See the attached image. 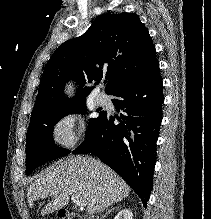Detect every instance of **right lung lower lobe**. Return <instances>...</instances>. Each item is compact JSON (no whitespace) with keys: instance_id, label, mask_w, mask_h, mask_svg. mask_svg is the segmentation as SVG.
<instances>
[{"instance_id":"1","label":"right lung lower lobe","mask_w":211,"mask_h":219,"mask_svg":"<svg viewBox=\"0 0 211 219\" xmlns=\"http://www.w3.org/2000/svg\"><path fill=\"white\" fill-rule=\"evenodd\" d=\"M111 95L121 123L106 112L72 153L96 155L116 171L147 206L153 187L156 141L162 121L163 82L158 61L116 88Z\"/></svg>"}]
</instances>
